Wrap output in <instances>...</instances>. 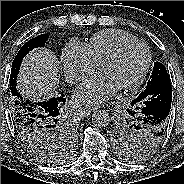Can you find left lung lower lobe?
Segmentation results:
<instances>
[{
	"label": "left lung lower lobe",
	"instance_id": "left-lung-lower-lobe-1",
	"mask_svg": "<svg viewBox=\"0 0 184 184\" xmlns=\"http://www.w3.org/2000/svg\"><path fill=\"white\" fill-rule=\"evenodd\" d=\"M171 102V82L160 80L147 86L131 102V114L142 124L152 128L155 135L160 137L167 131Z\"/></svg>",
	"mask_w": 184,
	"mask_h": 184
}]
</instances>
